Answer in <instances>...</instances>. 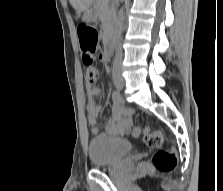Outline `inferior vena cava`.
Listing matches in <instances>:
<instances>
[{
	"label": "inferior vena cava",
	"instance_id": "inferior-vena-cava-1",
	"mask_svg": "<svg viewBox=\"0 0 223 191\" xmlns=\"http://www.w3.org/2000/svg\"><path fill=\"white\" fill-rule=\"evenodd\" d=\"M121 61H122V49H121V47H118L114 66H113L114 72L119 71V69L121 67Z\"/></svg>",
	"mask_w": 223,
	"mask_h": 191
}]
</instances>
